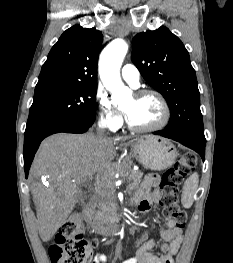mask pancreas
<instances>
[{"label":"pancreas","instance_id":"pancreas-1","mask_svg":"<svg viewBox=\"0 0 233 263\" xmlns=\"http://www.w3.org/2000/svg\"><path fill=\"white\" fill-rule=\"evenodd\" d=\"M143 172L131 171L128 176L127 190L132 191L139 188V184L142 180ZM116 220V206L112 200L110 193L104 194L101 201L97 205V209L93 210L92 218L87 219V222L91 225H111Z\"/></svg>","mask_w":233,"mask_h":263}]
</instances>
